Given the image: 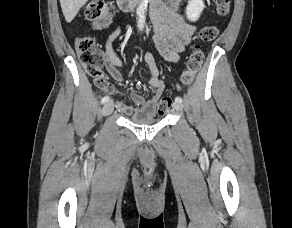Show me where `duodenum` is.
Segmentation results:
<instances>
[{
	"mask_svg": "<svg viewBox=\"0 0 292 228\" xmlns=\"http://www.w3.org/2000/svg\"><path fill=\"white\" fill-rule=\"evenodd\" d=\"M117 1H118V5L120 9L126 12L133 9L139 2V0H117ZM150 1L152 5H155L159 3L160 0H150Z\"/></svg>",
	"mask_w": 292,
	"mask_h": 228,
	"instance_id": "410a0bca",
	"label": "duodenum"
}]
</instances>
